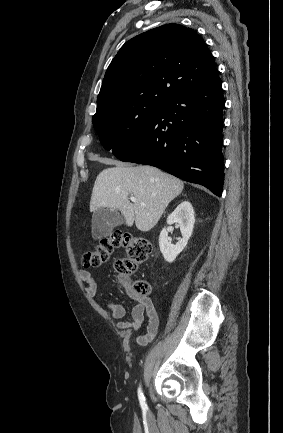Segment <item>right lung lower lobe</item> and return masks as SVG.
<instances>
[{"label": "right lung lower lobe", "mask_w": 283, "mask_h": 433, "mask_svg": "<svg viewBox=\"0 0 283 433\" xmlns=\"http://www.w3.org/2000/svg\"><path fill=\"white\" fill-rule=\"evenodd\" d=\"M224 98L220 78L168 100L132 144L115 156L158 167L221 196Z\"/></svg>", "instance_id": "1"}]
</instances>
